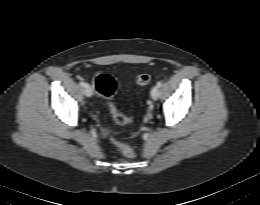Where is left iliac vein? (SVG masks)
Here are the masks:
<instances>
[{
	"label": "left iliac vein",
	"instance_id": "obj_1",
	"mask_svg": "<svg viewBox=\"0 0 260 205\" xmlns=\"http://www.w3.org/2000/svg\"><path fill=\"white\" fill-rule=\"evenodd\" d=\"M160 96V89L158 86H154L152 89H151V98L153 100H157Z\"/></svg>",
	"mask_w": 260,
	"mask_h": 205
}]
</instances>
